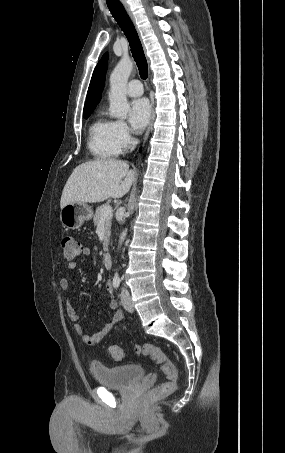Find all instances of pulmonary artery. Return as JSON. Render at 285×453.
<instances>
[{"label":"pulmonary artery","mask_w":285,"mask_h":453,"mask_svg":"<svg viewBox=\"0 0 285 453\" xmlns=\"http://www.w3.org/2000/svg\"><path fill=\"white\" fill-rule=\"evenodd\" d=\"M126 93L131 97H138L143 94L142 83L138 79L130 80L127 84Z\"/></svg>","instance_id":"pulmonary-artery-1"}]
</instances>
